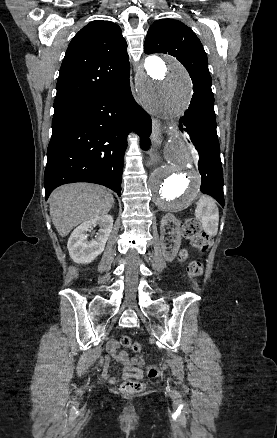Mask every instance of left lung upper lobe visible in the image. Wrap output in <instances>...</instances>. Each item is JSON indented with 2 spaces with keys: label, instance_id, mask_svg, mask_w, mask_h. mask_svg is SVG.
I'll return each mask as SVG.
<instances>
[{
  "label": "left lung upper lobe",
  "instance_id": "5c2ea615",
  "mask_svg": "<svg viewBox=\"0 0 277 438\" xmlns=\"http://www.w3.org/2000/svg\"><path fill=\"white\" fill-rule=\"evenodd\" d=\"M144 51L172 55L184 65L193 82L191 101L209 103L214 100L206 53L198 37L184 23L173 19L154 22L147 32Z\"/></svg>",
  "mask_w": 277,
  "mask_h": 438
}]
</instances>
